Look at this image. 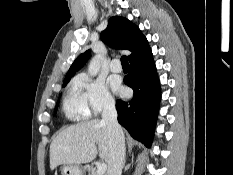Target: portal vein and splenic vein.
<instances>
[{
  "mask_svg": "<svg viewBox=\"0 0 233 175\" xmlns=\"http://www.w3.org/2000/svg\"><path fill=\"white\" fill-rule=\"evenodd\" d=\"M106 169H107V165L104 162L100 163L97 166V173H98V175H103L106 172Z\"/></svg>",
  "mask_w": 233,
  "mask_h": 175,
  "instance_id": "18ae733b",
  "label": "portal vein and splenic vein"
}]
</instances>
